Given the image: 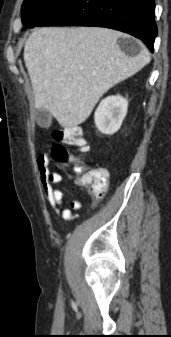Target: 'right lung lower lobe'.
Here are the masks:
<instances>
[{"mask_svg":"<svg viewBox=\"0 0 171 337\" xmlns=\"http://www.w3.org/2000/svg\"><path fill=\"white\" fill-rule=\"evenodd\" d=\"M154 0H68L37 26H97L129 33L153 51Z\"/></svg>","mask_w":171,"mask_h":337,"instance_id":"right-lung-lower-lobe-1","label":"right lung lower lobe"}]
</instances>
